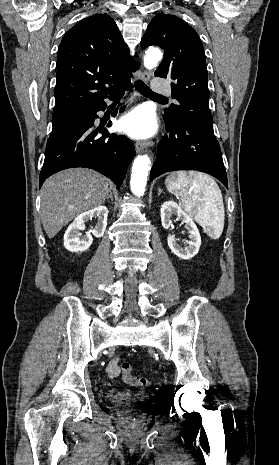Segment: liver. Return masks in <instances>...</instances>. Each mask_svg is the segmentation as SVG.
<instances>
[{
  "label": "liver",
  "mask_w": 279,
  "mask_h": 465,
  "mask_svg": "<svg viewBox=\"0 0 279 465\" xmlns=\"http://www.w3.org/2000/svg\"><path fill=\"white\" fill-rule=\"evenodd\" d=\"M108 179L86 168H71L49 177L41 188V221L53 238L79 214L102 205L110 191Z\"/></svg>",
  "instance_id": "liver-1"
}]
</instances>
